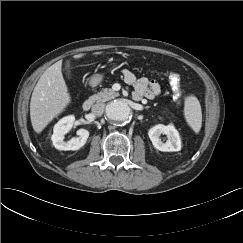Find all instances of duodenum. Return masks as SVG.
Instances as JSON below:
<instances>
[{"mask_svg": "<svg viewBox=\"0 0 243 243\" xmlns=\"http://www.w3.org/2000/svg\"><path fill=\"white\" fill-rule=\"evenodd\" d=\"M93 103H94V101H93L92 97L88 96L84 99V101L82 103V108L85 111H87L92 107Z\"/></svg>", "mask_w": 243, "mask_h": 243, "instance_id": "obj_1", "label": "duodenum"}]
</instances>
